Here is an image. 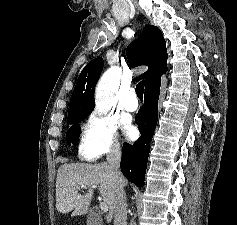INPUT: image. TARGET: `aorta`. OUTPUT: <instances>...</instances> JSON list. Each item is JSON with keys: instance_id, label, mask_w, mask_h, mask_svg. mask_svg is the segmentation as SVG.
Here are the masks:
<instances>
[{"instance_id": "762f6f07", "label": "aorta", "mask_w": 237, "mask_h": 225, "mask_svg": "<svg viewBox=\"0 0 237 225\" xmlns=\"http://www.w3.org/2000/svg\"><path fill=\"white\" fill-rule=\"evenodd\" d=\"M120 69L109 68L100 78L95 91V111L106 114L115 104L119 86Z\"/></svg>"}]
</instances>
